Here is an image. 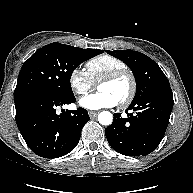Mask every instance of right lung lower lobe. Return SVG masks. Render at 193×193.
<instances>
[{"instance_id": "1", "label": "right lung lower lobe", "mask_w": 193, "mask_h": 193, "mask_svg": "<svg viewBox=\"0 0 193 193\" xmlns=\"http://www.w3.org/2000/svg\"><path fill=\"white\" fill-rule=\"evenodd\" d=\"M75 97L38 92L17 102L16 123L29 148L44 158L68 154L79 142L81 130L90 120L83 108L56 114V107L74 103Z\"/></svg>"}]
</instances>
